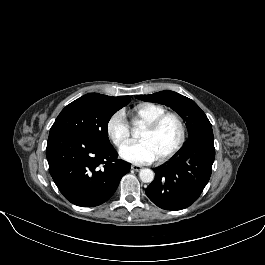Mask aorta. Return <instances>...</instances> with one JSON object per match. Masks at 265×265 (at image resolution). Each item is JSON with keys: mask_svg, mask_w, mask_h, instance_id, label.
<instances>
[{"mask_svg": "<svg viewBox=\"0 0 265 265\" xmlns=\"http://www.w3.org/2000/svg\"><path fill=\"white\" fill-rule=\"evenodd\" d=\"M139 177L142 182L150 183L154 179V172L151 169L144 168L140 170Z\"/></svg>", "mask_w": 265, "mask_h": 265, "instance_id": "762f6f07", "label": "aorta"}]
</instances>
